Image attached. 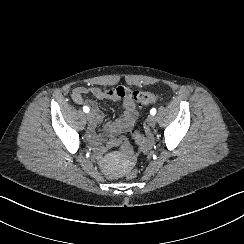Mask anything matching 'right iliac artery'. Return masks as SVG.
<instances>
[{"mask_svg":"<svg viewBox=\"0 0 244 244\" xmlns=\"http://www.w3.org/2000/svg\"><path fill=\"white\" fill-rule=\"evenodd\" d=\"M83 111H84L85 113H88V112H89V107L84 106V107H83Z\"/></svg>","mask_w":244,"mask_h":244,"instance_id":"right-iliac-artery-1","label":"right iliac artery"}]
</instances>
